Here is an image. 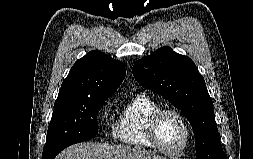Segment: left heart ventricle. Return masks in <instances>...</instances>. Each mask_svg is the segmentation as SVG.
<instances>
[{
    "instance_id": "obj_1",
    "label": "left heart ventricle",
    "mask_w": 253,
    "mask_h": 159,
    "mask_svg": "<svg viewBox=\"0 0 253 159\" xmlns=\"http://www.w3.org/2000/svg\"><path fill=\"white\" fill-rule=\"evenodd\" d=\"M184 138V127L178 117L173 114L164 115L158 125L160 144L169 151H176L182 146Z\"/></svg>"
}]
</instances>
